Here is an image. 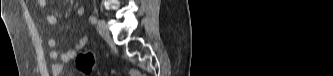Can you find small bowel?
Wrapping results in <instances>:
<instances>
[{
	"instance_id": "c3829d8e",
	"label": "small bowel",
	"mask_w": 333,
	"mask_h": 76,
	"mask_svg": "<svg viewBox=\"0 0 333 76\" xmlns=\"http://www.w3.org/2000/svg\"><path fill=\"white\" fill-rule=\"evenodd\" d=\"M37 5L41 8H44L47 6L48 1L47 0H37ZM85 10L83 7H79L76 11L78 16H82L84 14ZM46 22L49 25H56L57 19L54 15H47L46 16ZM88 42V36L86 34H82L78 42L75 44L74 47L70 48L69 50L65 52H60L57 50V41L54 39L48 40V47H49V56L50 59L54 62L52 65V74L53 76H61L63 73V65L62 63H69L71 62L75 56L77 55V52L84 48V46Z\"/></svg>"
}]
</instances>
